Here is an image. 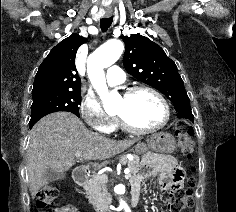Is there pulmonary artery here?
Returning <instances> with one entry per match:
<instances>
[{"instance_id":"e3ab8cb5","label":"pulmonary artery","mask_w":236,"mask_h":212,"mask_svg":"<svg viewBox=\"0 0 236 212\" xmlns=\"http://www.w3.org/2000/svg\"><path fill=\"white\" fill-rule=\"evenodd\" d=\"M125 81V73L118 66H111L107 70V84L108 86L120 85Z\"/></svg>"}]
</instances>
